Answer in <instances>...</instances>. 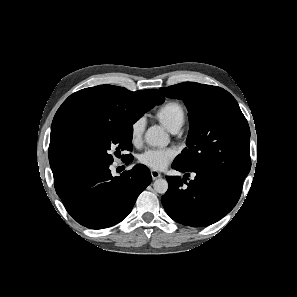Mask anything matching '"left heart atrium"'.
<instances>
[{
	"mask_svg": "<svg viewBox=\"0 0 297 297\" xmlns=\"http://www.w3.org/2000/svg\"><path fill=\"white\" fill-rule=\"evenodd\" d=\"M176 156L174 148L147 149L140 156L141 164L153 170H163Z\"/></svg>",
	"mask_w": 297,
	"mask_h": 297,
	"instance_id": "39dd6f15",
	"label": "left heart atrium"
}]
</instances>
